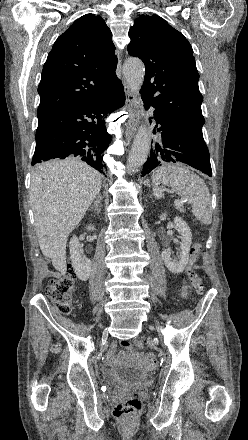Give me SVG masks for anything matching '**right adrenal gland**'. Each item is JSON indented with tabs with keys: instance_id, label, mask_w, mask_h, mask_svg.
I'll return each mask as SVG.
<instances>
[{
	"instance_id": "right-adrenal-gland-1",
	"label": "right adrenal gland",
	"mask_w": 248,
	"mask_h": 440,
	"mask_svg": "<svg viewBox=\"0 0 248 440\" xmlns=\"http://www.w3.org/2000/svg\"><path fill=\"white\" fill-rule=\"evenodd\" d=\"M88 211H95L97 214L101 211V197L98 195L94 202V205Z\"/></svg>"
}]
</instances>
